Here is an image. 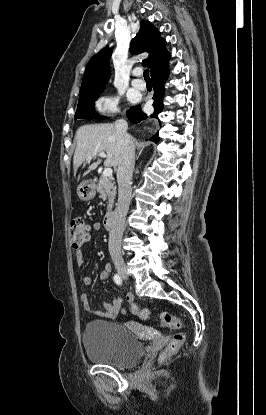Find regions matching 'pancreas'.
Segmentation results:
<instances>
[{
  "label": "pancreas",
  "instance_id": "pancreas-1",
  "mask_svg": "<svg viewBox=\"0 0 266 415\" xmlns=\"http://www.w3.org/2000/svg\"><path fill=\"white\" fill-rule=\"evenodd\" d=\"M97 192L103 200L108 198L107 211L112 212L114 200L116 197V186L112 177H100L97 186Z\"/></svg>",
  "mask_w": 266,
  "mask_h": 415
}]
</instances>
